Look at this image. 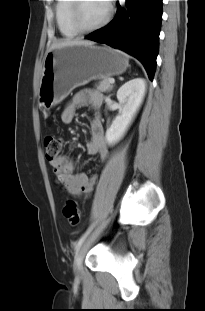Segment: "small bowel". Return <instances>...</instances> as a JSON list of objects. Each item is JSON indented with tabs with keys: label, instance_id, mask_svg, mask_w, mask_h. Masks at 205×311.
Segmentation results:
<instances>
[{
	"label": "small bowel",
	"instance_id": "c3829d8e",
	"mask_svg": "<svg viewBox=\"0 0 205 311\" xmlns=\"http://www.w3.org/2000/svg\"><path fill=\"white\" fill-rule=\"evenodd\" d=\"M102 95L93 90H83L77 92L72 99L65 105L61 112V121L70 124L74 121L76 112L79 108L90 105L99 110L102 106ZM90 139L86 148L89 155L98 156L101 161L108 157V149L104 139L103 125L99 114H96L89 124ZM57 181L72 196L89 194L96 181L94 175L86 173L74 174V162L66 155H59L50 162Z\"/></svg>",
	"mask_w": 205,
	"mask_h": 311
}]
</instances>
